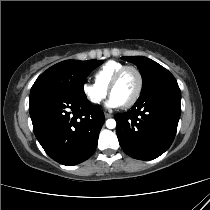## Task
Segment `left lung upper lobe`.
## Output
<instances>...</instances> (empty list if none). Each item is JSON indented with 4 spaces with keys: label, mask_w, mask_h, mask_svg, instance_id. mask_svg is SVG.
Returning a JSON list of instances; mask_svg holds the SVG:
<instances>
[{
    "label": "left lung upper lobe",
    "mask_w": 210,
    "mask_h": 210,
    "mask_svg": "<svg viewBox=\"0 0 210 210\" xmlns=\"http://www.w3.org/2000/svg\"><path fill=\"white\" fill-rule=\"evenodd\" d=\"M122 59L134 63L140 70L143 79L141 96L152 90L177 83L174 76L157 62L143 56H125Z\"/></svg>",
    "instance_id": "obj_1"
}]
</instances>
